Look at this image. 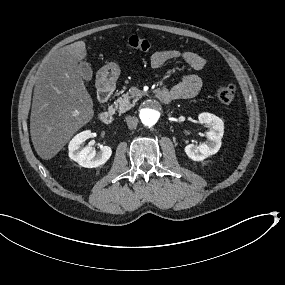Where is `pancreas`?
Returning a JSON list of instances; mask_svg holds the SVG:
<instances>
[{
	"label": "pancreas",
	"instance_id": "1",
	"mask_svg": "<svg viewBox=\"0 0 285 285\" xmlns=\"http://www.w3.org/2000/svg\"><path fill=\"white\" fill-rule=\"evenodd\" d=\"M131 96L128 93L123 94L121 97H119L116 101V106H118L119 110L118 112L125 113L126 111L130 110L133 106V104L130 103Z\"/></svg>",
	"mask_w": 285,
	"mask_h": 285
}]
</instances>
